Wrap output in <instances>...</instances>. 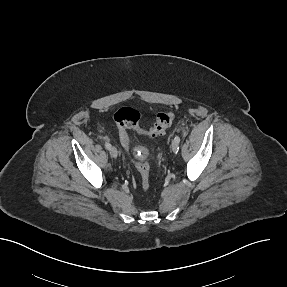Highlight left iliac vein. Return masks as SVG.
I'll return each mask as SVG.
<instances>
[{
    "instance_id": "obj_1",
    "label": "left iliac vein",
    "mask_w": 287,
    "mask_h": 287,
    "mask_svg": "<svg viewBox=\"0 0 287 287\" xmlns=\"http://www.w3.org/2000/svg\"><path fill=\"white\" fill-rule=\"evenodd\" d=\"M171 149H172V151L174 152V153H177L178 152V143L175 141V140H173L172 141V143H171Z\"/></svg>"
}]
</instances>
